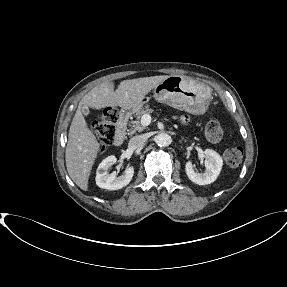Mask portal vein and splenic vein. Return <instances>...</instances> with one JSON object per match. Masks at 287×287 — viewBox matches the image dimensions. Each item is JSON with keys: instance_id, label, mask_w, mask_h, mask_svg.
<instances>
[{"instance_id": "portal-vein-and-splenic-vein-1", "label": "portal vein and splenic vein", "mask_w": 287, "mask_h": 287, "mask_svg": "<svg viewBox=\"0 0 287 287\" xmlns=\"http://www.w3.org/2000/svg\"><path fill=\"white\" fill-rule=\"evenodd\" d=\"M151 120H152V118L149 114H144L141 118V125L146 127V126L150 125Z\"/></svg>"}]
</instances>
